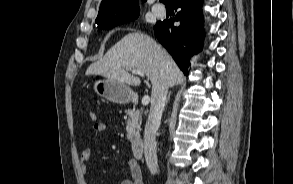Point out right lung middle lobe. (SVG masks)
Listing matches in <instances>:
<instances>
[{
  "label": "right lung middle lobe",
  "mask_w": 293,
  "mask_h": 184,
  "mask_svg": "<svg viewBox=\"0 0 293 184\" xmlns=\"http://www.w3.org/2000/svg\"><path fill=\"white\" fill-rule=\"evenodd\" d=\"M138 16H139V13L134 14V15L129 16V17H126V18H123V19H120V20H117V21H114L112 23H108V24L98 26V28L99 29H112L113 27H115V26H117L119 24L135 20V19L138 18Z\"/></svg>",
  "instance_id": "obj_1"
}]
</instances>
